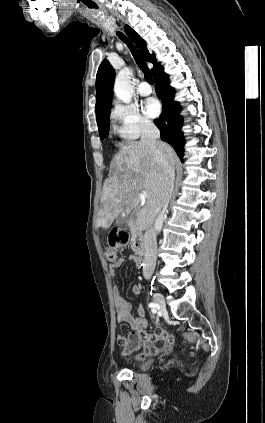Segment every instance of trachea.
I'll list each match as a JSON object with an SVG mask.
<instances>
[{"label":"trachea","mask_w":265,"mask_h":423,"mask_svg":"<svg viewBox=\"0 0 265 423\" xmlns=\"http://www.w3.org/2000/svg\"><path fill=\"white\" fill-rule=\"evenodd\" d=\"M117 35L119 36V38L122 40V41H124L126 44H127V46L130 48V50H131V53H132V55H133V57H134V59H135V61H136V63L138 64V66H139V68L143 71V73H144V77H145V80L149 83V84H151V85H153L154 84V81H153V79H152V76H151V73H150V70H149V68H148V66H147V63H146V60H145V58H144V56L142 55V53L126 38V36L125 35H123L122 33H120V32H117Z\"/></svg>","instance_id":"obj_1"}]
</instances>
